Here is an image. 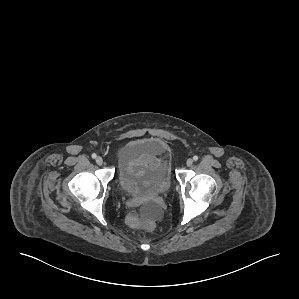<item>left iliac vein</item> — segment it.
Returning a JSON list of instances; mask_svg holds the SVG:
<instances>
[{
  "label": "left iliac vein",
  "instance_id": "4c4485c4",
  "mask_svg": "<svg viewBox=\"0 0 299 299\" xmlns=\"http://www.w3.org/2000/svg\"><path fill=\"white\" fill-rule=\"evenodd\" d=\"M187 166H191L193 164V160L191 158L186 161Z\"/></svg>",
  "mask_w": 299,
  "mask_h": 299
}]
</instances>
